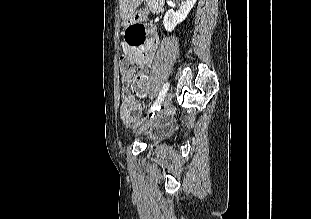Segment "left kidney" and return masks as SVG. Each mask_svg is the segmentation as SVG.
Returning a JSON list of instances; mask_svg holds the SVG:
<instances>
[{
    "label": "left kidney",
    "instance_id": "1",
    "mask_svg": "<svg viewBox=\"0 0 311 219\" xmlns=\"http://www.w3.org/2000/svg\"><path fill=\"white\" fill-rule=\"evenodd\" d=\"M197 0H186L184 5L177 12L168 10L163 19V25L166 31L170 32L182 21L186 19Z\"/></svg>",
    "mask_w": 311,
    "mask_h": 219
}]
</instances>
